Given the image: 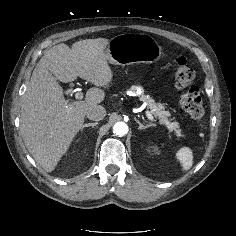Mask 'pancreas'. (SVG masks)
I'll return each instance as SVG.
<instances>
[{
    "mask_svg": "<svg viewBox=\"0 0 236 236\" xmlns=\"http://www.w3.org/2000/svg\"><path fill=\"white\" fill-rule=\"evenodd\" d=\"M140 87L132 86L131 90L136 91ZM140 100L144 101L148 105V109L150 113H152L155 117L159 119L160 124L166 126L169 132H174L177 137H182V130L179 127L178 122H171L168 118L170 116L169 111H165L164 104L155 103L154 99H152L149 95H145L143 92L140 94Z\"/></svg>",
    "mask_w": 236,
    "mask_h": 236,
    "instance_id": "pancreas-1",
    "label": "pancreas"
}]
</instances>
